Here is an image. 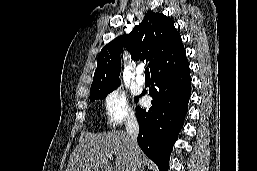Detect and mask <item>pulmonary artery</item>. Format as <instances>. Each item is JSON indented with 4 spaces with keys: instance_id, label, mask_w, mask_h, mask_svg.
I'll use <instances>...</instances> for the list:
<instances>
[{
    "instance_id": "e3ab8cb5",
    "label": "pulmonary artery",
    "mask_w": 257,
    "mask_h": 171,
    "mask_svg": "<svg viewBox=\"0 0 257 171\" xmlns=\"http://www.w3.org/2000/svg\"><path fill=\"white\" fill-rule=\"evenodd\" d=\"M135 80H136V83H137L138 85H144V84H145V79H144V77L142 76V69H141V68H138V69H137V75H136Z\"/></svg>"
}]
</instances>
